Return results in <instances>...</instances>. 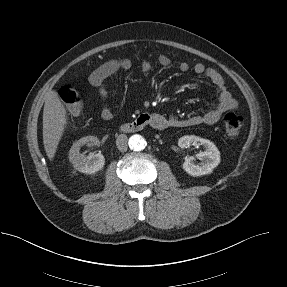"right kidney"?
<instances>
[{
	"label": "right kidney",
	"instance_id": "ca27d5eb",
	"mask_svg": "<svg viewBox=\"0 0 287 287\" xmlns=\"http://www.w3.org/2000/svg\"><path fill=\"white\" fill-rule=\"evenodd\" d=\"M97 145L99 140L94 136H86L73 143L69 151V160L73 167L79 172L94 174L101 170L105 165V158L102 154H90L88 156L81 154L80 149L85 144Z\"/></svg>",
	"mask_w": 287,
	"mask_h": 287
}]
</instances>
